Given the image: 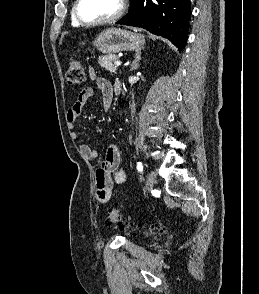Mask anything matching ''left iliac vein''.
I'll use <instances>...</instances> for the list:
<instances>
[{
  "label": "left iliac vein",
  "instance_id": "4c4485c4",
  "mask_svg": "<svg viewBox=\"0 0 259 294\" xmlns=\"http://www.w3.org/2000/svg\"><path fill=\"white\" fill-rule=\"evenodd\" d=\"M156 182V174L154 171H150L147 178V185L149 188H153Z\"/></svg>",
  "mask_w": 259,
  "mask_h": 294
}]
</instances>
